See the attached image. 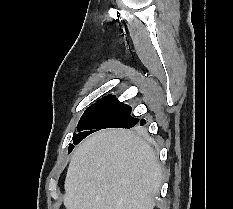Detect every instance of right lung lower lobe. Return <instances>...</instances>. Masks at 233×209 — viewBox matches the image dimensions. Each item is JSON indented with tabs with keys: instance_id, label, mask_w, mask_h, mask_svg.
<instances>
[{
	"instance_id": "98d812e1",
	"label": "right lung lower lobe",
	"mask_w": 233,
	"mask_h": 209,
	"mask_svg": "<svg viewBox=\"0 0 233 209\" xmlns=\"http://www.w3.org/2000/svg\"><path fill=\"white\" fill-rule=\"evenodd\" d=\"M145 124V120H141L140 121V125H144ZM114 127H116V126H114ZM111 128H113V127H111ZM116 128H128V127H126V126H117Z\"/></svg>"
}]
</instances>
